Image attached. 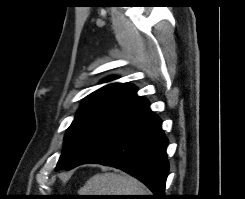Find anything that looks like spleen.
<instances>
[{
    "label": "spleen",
    "mask_w": 245,
    "mask_h": 199,
    "mask_svg": "<svg viewBox=\"0 0 245 199\" xmlns=\"http://www.w3.org/2000/svg\"><path fill=\"white\" fill-rule=\"evenodd\" d=\"M79 195H147L135 179L115 173L97 174L79 190Z\"/></svg>",
    "instance_id": "3e777b00"
}]
</instances>
